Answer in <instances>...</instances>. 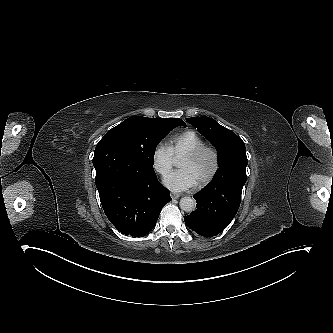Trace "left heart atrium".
<instances>
[{
    "label": "left heart atrium",
    "instance_id": "left-heart-atrium-1",
    "mask_svg": "<svg viewBox=\"0 0 333 333\" xmlns=\"http://www.w3.org/2000/svg\"><path fill=\"white\" fill-rule=\"evenodd\" d=\"M163 181L169 189L174 191H183L194 185V179L186 169L167 174Z\"/></svg>",
    "mask_w": 333,
    "mask_h": 333
}]
</instances>
